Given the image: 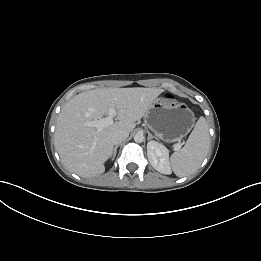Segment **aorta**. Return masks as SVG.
<instances>
[{
    "label": "aorta",
    "mask_w": 261,
    "mask_h": 261,
    "mask_svg": "<svg viewBox=\"0 0 261 261\" xmlns=\"http://www.w3.org/2000/svg\"><path fill=\"white\" fill-rule=\"evenodd\" d=\"M134 141H135L136 143H141V142H143V141H144V135H143V133H141V132L136 133V134L134 135Z\"/></svg>",
    "instance_id": "aorta-1"
}]
</instances>
